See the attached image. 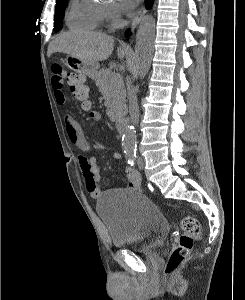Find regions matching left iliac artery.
<instances>
[{"instance_id":"1","label":"left iliac artery","mask_w":245,"mask_h":300,"mask_svg":"<svg viewBox=\"0 0 245 300\" xmlns=\"http://www.w3.org/2000/svg\"><path fill=\"white\" fill-rule=\"evenodd\" d=\"M124 152L126 154L128 163L133 166L136 158V146L125 148Z\"/></svg>"}]
</instances>
